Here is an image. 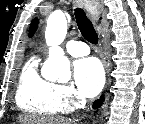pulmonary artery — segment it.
<instances>
[{"mask_svg":"<svg viewBox=\"0 0 145 124\" xmlns=\"http://www.w3.org/2000/svg\"><path fill=\"white\" fill-rule=\"evenodd\" d=\"M65 50L74 57L85 56L89 53V48L84 42L69 41L64 46Z\"/></svg>","mask_w":145,"mask_h":124,"instance_id":"e3ab8cb5","label":"pulmonary artery"}]
</instances>
